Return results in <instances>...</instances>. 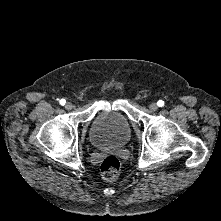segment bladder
<instances>
[{
    "label": "bladder",
    "mask_w": 221,
    "mask_h": 221,
    "mask_svg": "<svg viewBox=\"0 0 221 221\" xmlns=\"http://www.w3.org/2000/svg\"><path fill=\"white\" fill-rule=\"evenodd\" d=\"M132 129L127 119L116 113H102L89 130V139L97 147H122L131 138Z\"/></svg>",
    "instance_id": "1"
}]
</instances>
